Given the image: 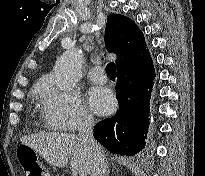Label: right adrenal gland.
<instances>
[{
  "instance_id": "2a0ac1e0",
  "label": "right adrenal gland",
  "mask_w": 205,
  "mask_h": 176,
  "mask_svg": "<svg viewBox=\"0 0 205 176\" xmlns=\"http://www.w3.org/2000/svg\"><path fill=\"white\" fill-rule=\"evenodd\" d=\"M105 176H109V168L107 167V169H106V174H105Z\"/></svg>"
}]
</instances>
